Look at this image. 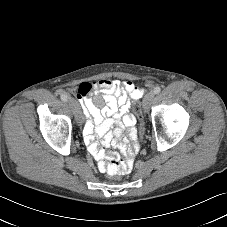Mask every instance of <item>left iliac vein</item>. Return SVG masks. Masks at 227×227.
<instances>
[{
    "label": "left iliac vein",
    "instance_id": "left-iliac-vein-1",
    "mask_svg": "<svg viewBox=\"0 0 227 227\" xmlns=\"http://www.w3.org/2000/svg\"><path fill=\"white\" fill-rule=\"evenodd\" d=\"M155 94L153 92H148L142 102L143 109L147 112L150 109L151 103L154 99Z\"/></svg>",
    "mask_w": 227,
    "mask_h": 227
}]
</instances>
